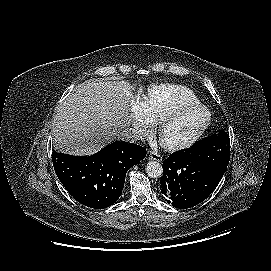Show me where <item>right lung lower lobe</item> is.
I'll return each mask as SVG.
<instances>
[{
	"instance_id": "obj_1",
	"label": "right lung lower lobe",
	"mask_w": 271,
	"mask_h": 271,
	"mask_svg": "<svg viewBox=\"0 0 271 271\" xmlns=\"http://www.w3.org/2000/svg\"><path fill=\"white\" fill-rule=\"evenodd\" d=\"M146 153L139 145L117 141L91 156L53 151V166L60 182L76 201L104 209L118 200L127 171L144 159Z\"/></svg>"
}]
</instances>
